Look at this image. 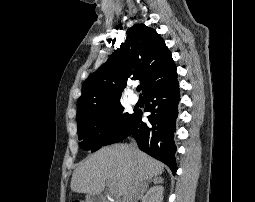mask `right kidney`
I'll return each mask as SVG.
<instances>
[{"label":"right kidney","instance_id":"ca27d5eb","mask_svg":"<svg viewBox=\"0 0 255 202\" xmlns=\"http://www.w3.org/2000/svg\"><path fill=\"white\" fill-rule=\"evenodd\" d=\"M163 186H155L151 188L143 198V202H162L163 201Z\"/></svg>","mask_w":255,"mask_h":202}]
</instances>
